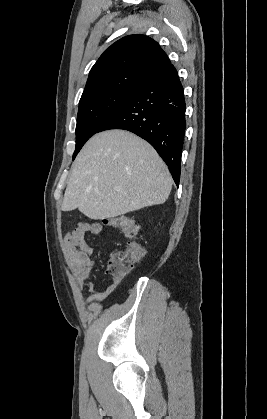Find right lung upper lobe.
<instances>
[{
	"label": "right lung upper lobe",
	"instance_id": "obj_1",
	"mask_svg": "<svg viewBox=\"0 0 267 419\" xmlns=\"http://www.w3.org/2000/svg\"><path fill=\"white\" fill-rule=\"evenodd\" d=\"M171 65L153 39L129 35L113 43L92 67L81 99L107 90L140 86Z\"/></svg>",
	"mask_w": 267,
	"mask_h": 419
}]
</instances>
